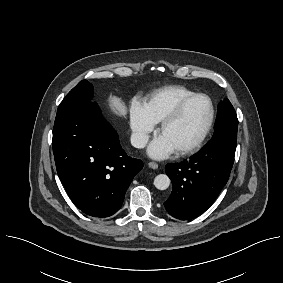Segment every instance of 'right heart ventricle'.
<instances>
[{
  "label": "right heart ventricle",
  "instance_id": "e07e8e85",
  "mask_svg": "<svg viewBox=\"0 0 283 283\" xmlns=\"http://www.w3.org/2000/svg\"><path fill=\"white\" fill-rule=\"evenodd\" d=\"M195 92L182 85H168L152 92L143 108L146 116L154 123L161 122L185 98Z\"/></svg>",
  "mask_w": 283,
  "mask_h": 283
}]
</instances>
